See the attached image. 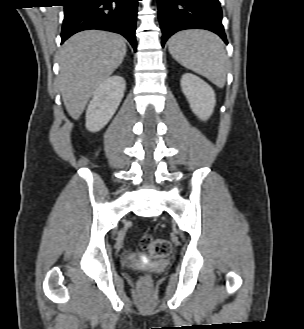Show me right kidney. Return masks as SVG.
I'll return each instance as SVG.
<instances>
[{
  "mask_svg": "<svg viewBox=\"0 0 304 329\" xmlns=\"http://www.w3.org/2000/svg\"><path fill=\"white\" fill-rule=\"evenodd\" d=\"M125 86L122 77L112 76L97 87L86 111L89 131L97 132L109 122L124 96Z\"/></svg>",
  "mask_w": 304,
  "mask_h": 329,
  "instance_id": "obj_1",
  "label": "right kidney"
}]
</instances>
